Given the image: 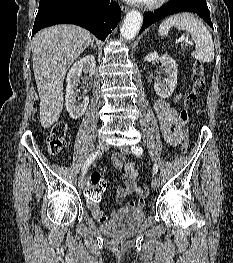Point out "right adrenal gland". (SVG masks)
<instances>
[{
    "instance_id": "right-adrenal-gland-1",
    "label": "right adrenal gland",
    "mask_w": 233,
    "mask_h": 263,
    "mask_svg": "<svg viewBox=\"0 0 233 263\" xmlns=\"http://www.w3.org/2000/svg\"><path fill=\"white\" fill-rule=\"evenodd\" d=\"M91 48L95 49L96 50V46L94 45V42L92 41L91 44H90Z\"/></svg>"
}]
</instances>
